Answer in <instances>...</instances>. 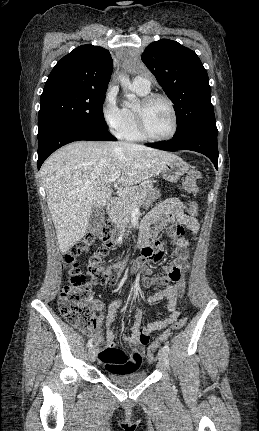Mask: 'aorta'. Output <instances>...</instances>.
I'll return each mask as SVG.
<instances>
[{"mask_svg": "<svg viewBox=\"0 0 259 431\" xmlns=\"http://www.w3.org/2000/svg\"><path fill=\"white\" fill-rule=\"evenodd\" d=\"M119 81H120L121 87L123 89H127L130 86V79H129L128 76L120 74L119 75ZM126 97L131 102V105H133L136 102V100H137V98H136V96L134 94H127Z\"/></svg>", "mask_w": 259, "mask_h": 431, "instance_id": "1", "label": "aorta"}]
</instances>
